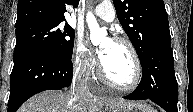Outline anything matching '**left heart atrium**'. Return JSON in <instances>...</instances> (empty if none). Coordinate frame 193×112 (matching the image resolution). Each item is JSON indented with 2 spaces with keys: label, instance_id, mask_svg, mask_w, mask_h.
Listing matches in <instances>:
<instances>
[{
  "label": "left heart atrium",
  "instance_id": "left-heart-atrium-1",
  "mask_svg": "<svg viewBox=\"0 0 193 112\" xmlns=\"http://www.w3.org/2000/svg\"><path fill=\"white\" fill-rule=\"evenodd\" d=\"M107 53V47H100L96 50V55L100 62L103 61Z\"/></svg>",
  "mask_w": 193,
  "mask_h": 112
}]
</instances>
